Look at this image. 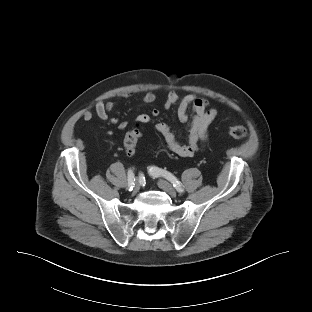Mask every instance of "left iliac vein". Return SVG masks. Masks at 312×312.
I'll return each instance as SVG.
<instances>
[{"label": "left iliac vein", "mask_w": 312, "mask_h": 312, "mask_svg": "<svg viewBox=\"0 0 312 312\" xmlns=\"http://www.w3.org/2000/svg\"><path fill=\"white\" fill-rule=\"evenodd\" d=\"M158 187L162 189L163 191H165L166 193H168L172 197H175L177 194L175 188L164 180L158 181Z\"/></svg>", "instance_id": "obj_1"}]
</instances>
